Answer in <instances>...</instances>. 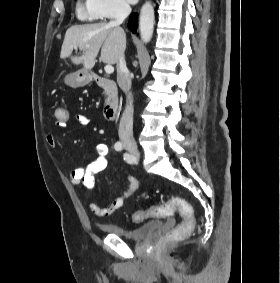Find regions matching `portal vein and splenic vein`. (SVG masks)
I'll use <instances>...</instances> for the list:
<instances>
[{"label": "portal vein and splenic vein", "instance_id": "portal-vein-and-splenic-vein-1", "mask_svg": "<svg viewBox=\"0 0 280 283\" xmlns=\"http://www.w3.org/2000/svg\"><path fill=\"white\" fill-rule=\"evenodd\" d=\"M76 48V47H75ZM104 70L107 74H112L114 72V67L112 65L107 64L104 67Z\"/></svg>", "mask_w": 280, "mask_h": 283}]
</instances>
